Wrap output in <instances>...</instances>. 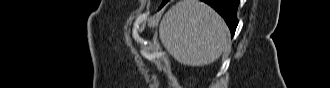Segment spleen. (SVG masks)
<instances>
[{"mask_svg":"<svg viewBox=\"0 0 330 88\" xmlns=\"http://www.w3.org/2000/svg\"><path fill=\"white\" fill-rule=\"evenodd\" d=\"M159 36L166 50L183 65L216 61L228 46L224 20L199 0H181L161 20Z\"/></svg>","mask_w":330,"mask_h":88,"instance_id":"3e777b00","label":"spleen"}]
</instances>
